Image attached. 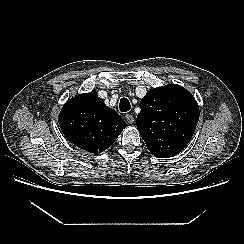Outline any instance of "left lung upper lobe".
<instances>
[{
  "instance_id": "5c2ea615",
  "label": "left lung upper lobe",
  "mask_w": 244,
  "mask_h": 244,
  "mask_svg": "<svg viewBox=\"0 0 244 244\" xmlns=\"http://www.w3.org/2000/svg\"><path fill=\"white\" fill-rule=\"evenodd\" d=\"M140 104L136 124L148 150L158 158L180 153L199 120L193 95L179 85L169 84L149 90Z\"/></svg>"
}]
</instances>
